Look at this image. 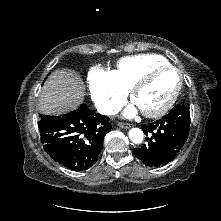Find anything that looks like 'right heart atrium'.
I'll return each instance as SVG.
<instances>
[{"mask_svg":"<svg viewBox=\"0 0 221 221\" xmlns=\"http://www.w3.org/2000/svg\"><path fill=\"white\" fill-rule=\"evenodd\" d=\"M88 84L97 109L105 115L114 113L123 104L128 94L113 71H107L100 67L90 70Z\"/></svg>","mask_w":221,"mask_h":221,"instance_id":"right-heart-atrium-1","label":"right heart atrium"}]
</instances>
